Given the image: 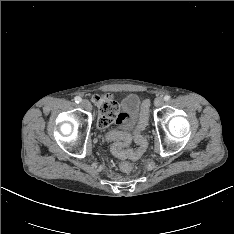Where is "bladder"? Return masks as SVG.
Wrapping results in <instances>:
<instances>
[{
  "instance_id": "obj_1",
  "label": "bladder",
  "mask_w": 234,
  "mask_h": 234,
  "mask_svg": "<svg viewBox=\"0 0 234 234\" xmlns=\"http://www.w3.org/2000/svg\"><path fill=\"white\" fill-rule=\"evenodd\" d=\"M122 121L118 125V130L130 132L144 118L140 97L137 94L131 93L125 96L121 102Z\"/></svg>"
}]
</instances>
